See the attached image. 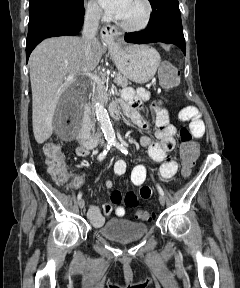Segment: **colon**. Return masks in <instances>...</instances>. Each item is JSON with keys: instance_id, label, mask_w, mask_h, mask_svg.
Returning a JSON list of instances; mask_svg holds the SVG:
<instances>
[{"instance_id": "colon-1", "label": "colon", "mask_w": 240, "mask_h": 288, "mask_svg": "<svg viewBox=\"0 0 240 288\" xmlns=\"http://www.w3.org/2000/svg\"><path fill=\"white\" fill-rule=\"evenodd\" d=\"M179 81V71L170 63H162L159 68V82L166 89L173 88ZM180 157L184 175H188L198 157V146L189 130L183 128L180 131ZM47 172L55 183L65 184L68 173L60 147L53 143H45L43 147ZM124 203L128 207H135L137 196L134 192L126 193ZM136 216L144 221H152L155 213L149 210H137Z\"/></svg>"}]
</instances>
